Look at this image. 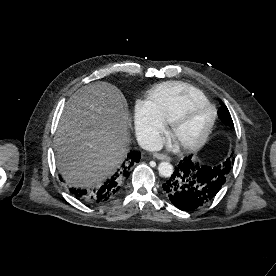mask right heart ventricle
I'll list each match as a JSON object with an SVG mask.
<instances>
[{
	"instance_id": "1",
	"label": "right heart ventricle",
	"mask_w": 276,
	"mask_h": 276,
	"mask_svg": "<svg viewBox=\"0 0 276 276\" xmlns=\"http://www.w3.org/2000/svg\"><path fill=\"white\" fill-rule=\"evenodd\" d=\"M195 87L178 81L165 82L156 86L146 102L150 112L163 123L171 120L194 99H205Z\"/></svg>"
}]
</instances>
